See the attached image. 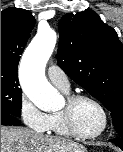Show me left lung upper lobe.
Here are the masks:
<instances>
[{"label":"left lung upper lobe","instance_id":"left-lung-upper-lobe-1","mask_svg":"<svg viewBox=\"0 0 123 152\" xmlns=\"http://www.w3.org/2000/svg\"><path fill=\"white\" fill-rule=\"evenodd\" d=\"M58 65L110 112L123 137V45L99 15L85 10L59 22Z\"/></svg>","mask_w":123,"mask_h":152}]
</instances>
